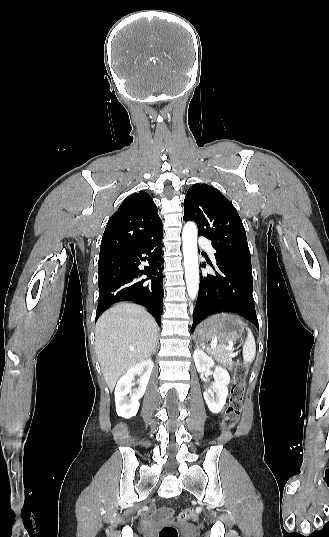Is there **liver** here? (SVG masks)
I'll list each match as a JSON object with an SVG mask.
<instances>
[{
	"instance_id": "1",
	"label": "liver",
	"mask_w": 329,
	"mask_h": 537,
	"mask_svg": "<svg viewBox=\"0 0 329 537\" xmlns=\"http://www.w3.org/2000/svg\"><path fill=\"white\" fill-rule=\"evenodd\" d=\"M158 331L155 319L133 303H118L100 316L95 352L110 391L127 370L150 358Z\"/></svg>"
}]
</instances>
